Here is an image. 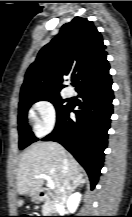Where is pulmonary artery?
<instances>
[{"label": "pulmonary artery", "mask_w": 132, "mask_h": 217, "mask_svg": "<svg viewBox=\"0 0 132 217\" xmlns=\"http://www.w3.org/2000/svg\"><path fill=\"white\" fill-rule=\"evenodd\" d=\"M66 93H67L68 96H72L73 95V89L71 87H68L66 89Z\"/></svg>", "instance_id": "obj_1"}]
</instances>
